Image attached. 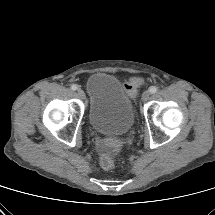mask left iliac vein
Wrapping results in <instances>:
<instances>
[{
    "label": "left iliac vein",
    "instance_id": "left-iliac-vein-1",
    "mask_svg": "<svg viewBox=\"0 0 215 215\" xmlns=\"http://www.w3.org/2000/svg\"><path fill=\"white\" fill-rule=\"evenodd\" d=\"M149 98H150V91L149 90L144 91L142 94V100L145 102V101H148Z\"/></svg>",
    "mask_w": 215,
    "mask_h": 215
}]
</instances>
